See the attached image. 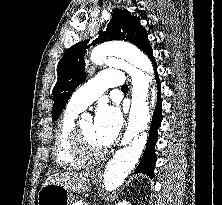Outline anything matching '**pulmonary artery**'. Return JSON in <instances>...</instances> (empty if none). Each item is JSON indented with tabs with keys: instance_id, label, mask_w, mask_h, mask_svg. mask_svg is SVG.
Returning a JSON list of instances; mask_svg holds the SVG:
<instances>
[{
	"instance_id": "obj_1",
	"label": "pulmonary artery",
	"mask_w": 222,
	"mask_h": 205,
	"mask_svg": "<svg viewBox=\"0 0 222 205\" xmlns=\"http://www.w3.org/2000/svg\"><path fill=\"white\" fill-rule=\"evenodd\" d=\"M123 85L124 77L121 71L104 69L74 92L68 102V108L80 112L94 102L107 88H121Z\"/></svg>"
}]
</instances>
